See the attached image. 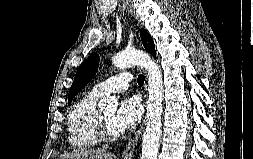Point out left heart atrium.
<instances>
[{
  "label": "left heart atrium",
  "mask_w": 253,
  "mask_h": 159,
  "mask_svg": "<svg viewBox=\"0 0 253 159\" xmlns=\"http://www.w3.org/2000/svg\"><path fill=\"white\" fill-rule=\"evenodd\" d=\"M142 103L137 96L125 97L113 118V127L118 134L135 126L142 116Z\"/></svg>",
  "instance_id": "1"
}]
</instances>
